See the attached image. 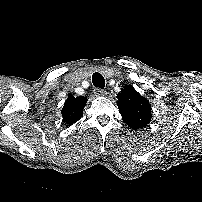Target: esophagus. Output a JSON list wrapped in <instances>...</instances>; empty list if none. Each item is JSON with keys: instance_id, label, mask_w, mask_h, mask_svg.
Masks as SVG:
<instances>
[{"instance_id": "34e87169", "label": "esophagus", "mask_w": 202, "mask_h": 202, "mask_svg": "<svg viewBox=\"0 0 202 202\" xmlns=\"http://www.w3.org/2000/svg\"><path fill=\"white\" fill-rule=\"evenodd\" d=\"M94 94L96 96H104L106 94V91H104L103 89H100V88H95Z\"/></svg>"}]
</instances>
